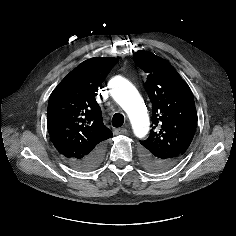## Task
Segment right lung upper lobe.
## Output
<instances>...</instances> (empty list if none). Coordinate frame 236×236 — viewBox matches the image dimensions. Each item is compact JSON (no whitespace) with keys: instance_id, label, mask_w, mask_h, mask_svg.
Masks as SVG:
<instances>
[{"instance_id":"cb5924a9","label":"right lung upper lobe","mask_w":236,"mask_h":236,"mask_svg":"<svg viewBox=\"0 0 236 236\" xmlns=\"http://www.w3.org/2000/svg\"><path fill=\"white\" fill-rule=\"evenodd\" d=\"M117 62L113 57L87 59L51 93L47 127L53 145L64 158L81 159L113 136L103 124L95 96Z\"/></svg>"}]
</instances>
